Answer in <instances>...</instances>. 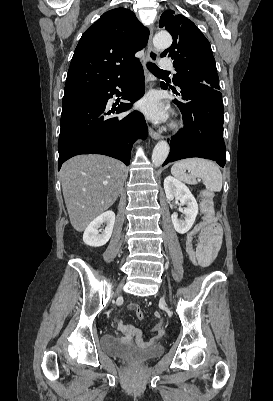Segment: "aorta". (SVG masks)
Masks as SVG:
<instances>
[{
    "label": "aorta",
    "instance_id": "1",
    "mask_svg": "<svg viewBox=\"0 0 273 401\" xmlns=\"http://www.w3.org/2000/svg\"><path fill=\"white\" fill-rule=\"evenodd\" d=\"M172 44V37L169 33L165 31L158 32L153 38V45L156 50L162 51L170 47ZM169 144L162 140L159 141L152 152V163L158 167L160 166L167 158L169 154Z\"/></svg>",
    "mask_w": 273,
    "mask_h": 401
}]
</instances>
